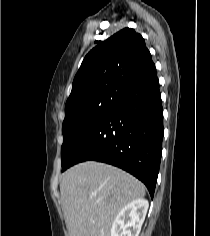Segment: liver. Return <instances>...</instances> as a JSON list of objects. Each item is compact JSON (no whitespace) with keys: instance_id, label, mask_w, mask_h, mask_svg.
<instances>
[{"instance_id":"liver-1","label":"liver","mask_w":210,"mask_h":236,"mask_svg":"<svg viewBox=\"0 0 210 236\" xmlns=\"http://www.w3.org/2000/svg\"><path fill=\"white\" fill-rule=\"evenodd\" d=\"M60 192L69 236H110L115 217L145 196V186L121 169L87 161L62 175Z\"/></svg>"}]
</instances>
